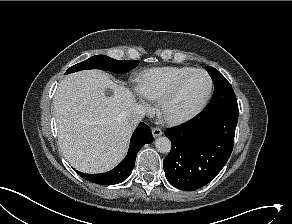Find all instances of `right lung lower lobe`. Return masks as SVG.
Returning <instances> with one entry per match:
<instances>
[{"mask_svg":"<svg viewBox=\"0 0 292 224\" xmlns=\"http://www.w3.org/2000/svg\"><path fill=\"white\" fill-rule=\"evenodd\" d=\"M153 136L150 128L141 122L134 131L127 156L111 171L101 174H85L75 170L82 178L100 185H114L123 182L130 175L135 165L138 151L146 143H151Z\"/></svg>","mask_w":292,"mask_h":224,"instance_id":"98d812e1","label":"right lung lower lobe"}]
</instances>
